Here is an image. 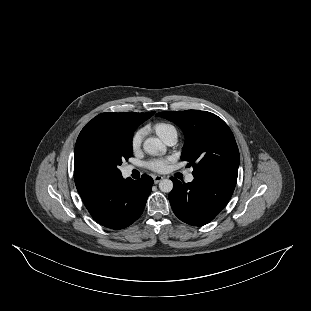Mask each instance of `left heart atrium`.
Returning a JSON list of instances; mask_svg holds the SVG:
<instances>
[{
	"mask_svg": "<svg viewBox=\"0 0 311 311\" xmlns=\"http://www.w3.org/2000/svg\"><path fill=\"white\" fill-rule=\"evenodd\" d=\"M147 168L156 173H164L169 169V160H153L147 164Z\"/></svg>",
	"mask_w": 311,
	"mask_h": 311,
	"instance_id": "left-heart-atrium-1",
	"label": "left heart atrium"
}]
</instances>
